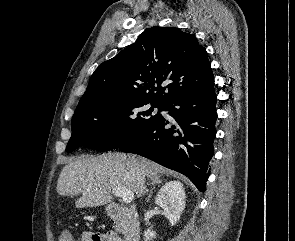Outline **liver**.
<instances>
[{"instance_id": "6515ba94", "label": "liver", "mask_w": 295, "mask_h": 241, "mask_svg": "<svg viewBox=\"0 0 295 241\" xmlns=\"http://www.w3.org/2000/svg\"><path fill=\"white\" fill-rule=\"evenodd\" d=\"M167 169L143 157L108 153L97 157L82 156L68 161L57 181L62 196L82 194L75 201L77 208L110 203L111 191L121 187L137 196L148 192L145 178L158 176Z\"/></svg>"}]
</instances>
